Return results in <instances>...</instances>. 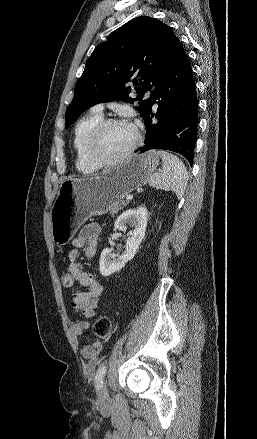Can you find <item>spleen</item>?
Returning <instances> with one entry per match:
<instances>
[{
    "label": "spleen",
    "mask_w": 257,
    "mask_h": 439,
    "mask_svg": "<svg viewBox=\"0 0 257 439\" xmlns=\"http://www.w3.org/2000/svg\"><path fill=\"white\" fill-rule=\"evenodd\" d=\"M162 170L151 175L149 185L156 189L174 192L182 198L187 186L188 172L183 162L175 155L160 150Z\"/></svg>",
    "instance_id": "spleen-1"
}]
</instances>
